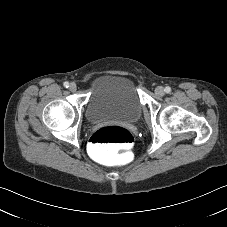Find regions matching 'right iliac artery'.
<instances>
[{"label": "right iliac artery", "instance_id": "1", "mask_svg": "<svg viewBox=\"0 0 227 227\" xmlns=\"http://www.w3.org/2000/svg\"><path fill=\"white\" fill-rule=\"evenodd\" d=\"M64 87L68 88L69 87V83L68 82H64Z\"/></svg>", "mask_w": 227, "mask_h": 227}]
</instances>
